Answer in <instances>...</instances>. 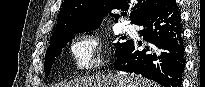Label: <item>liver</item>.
Masks as SVG:
<instances>
[{
    "label": "liver",
    "instance_id": "obj_1",
    "mask_svg": "<svg viewBox=\"0 0 205 87\" xmlns=\"http://www.w3.org/2000/svg\"><path fill=\"white\" fill-rule=\"evenodd\" d=\"M58 87H158L141 77L126 74L95 75L76 78Z\"/></svg>",
    "mask_w": 205,
    "mask_h": 87
}]
</instances>
